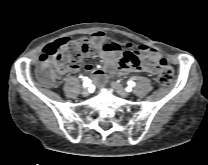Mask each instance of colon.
Masks as SVG:
<instances>
[{
    "instance_id": "colon-1",
    "label": "colon",
    "mask_w": 208,
    "mask_h": 165,
    "mask_svg": "<svg viewBox=\"0 0 208 165\" xmlns=\"http://www.w3.org/2000/svg\"><path fill=\"white\" fill-rule=\"evenodd\" d=\"M95 50V46L90 39L62 38L52 44L47 45L38 58L37 75L45 84L53 85L58 77V66L62 62L71 61L73 63L90 55ZM125 59H135L130 52L125 54ZM161 70L157 75V81L162 86H169L174 79V71L164 59L160 60ZM75 65V64H74Z\"/></svg>"
}]
</instances>
